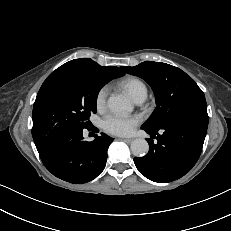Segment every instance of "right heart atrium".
<instances>
[{
	"instance_id": "d8ad5b80",
	"label": "right heart atrium",
	"mask_w": 231,
	"mask_h": 231,
	"mask_svg": "<svg viewBox=\"0 0 231 231\" xmlns=\"http://www.w3.org/2000/svg\"><path fill=\"white\" fill-rule=\"evenodd\" d=\"M108 95V88L102 87L98 90L95 96V105L98 110H101L106 105V99Z\"/></svg>"
}]
</instances>
